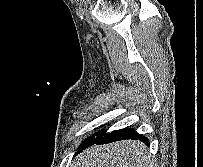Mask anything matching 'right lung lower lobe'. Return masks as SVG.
Masks as SVG:
<instances>
[{
  "label": "right lung lower lobe",
  "mask_w": 203,
  "mask_h": 167,
  "mask_svg": "<svg viewBox=\"0 0 203 167\" xmlns=\"http://www.w3.org/2000/svg\"><path fill=\"white\" fill-rule=\"evenodd\" d=\"M124 139H136V140L139 139L141 141H148V139L145 136L138 134L137 132L134 131V129L124 128V129L113 131L105 136H102L100 138H97L87 143L80 149V151L93 143L106 144V143H110L118 140H124Z\"/></svg>",
  "instance_id": "98d812e1"
}]
</instances>
